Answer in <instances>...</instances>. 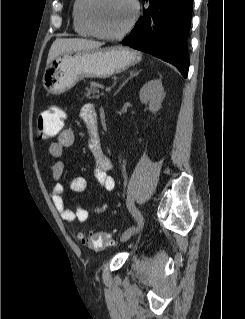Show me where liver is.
<instances>
[{
    "instance_id": "1",
    "label": "liver",
    "mask_w": 245,
    "mask_h": 319,
    "mask_svg": "<svg viewBox=\"0 0 245 319\" xmlns=\"http://www.w3.org/2000/svg\"><path fill=\"white\" fill-rule=\"evenodd\" d=\"M102 45L103 43L83 38H58L53 42L49 50L47 65L62 53L93 50Z\"/></svg>"
}]
</instances>
